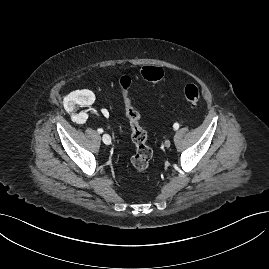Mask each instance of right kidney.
<instances>
[{"instance_id":"obj_1","label":"right kidney","mask_w":269,"mask_h":269,"mask_svg":"<svg viewBox=\"0 0 269 269\" xmlns=\"http://www.w3.org/2000/svg\"><path fill=\"white\" fill-rule=\"evenodd\" d=\"M95 101V94L88 89L76 90L64 97V108L67 112H73L76 105L88 106L92 105ZM80 117L83 120L87 119L86 113H81Z\"/></svg>"}]
</instances>
